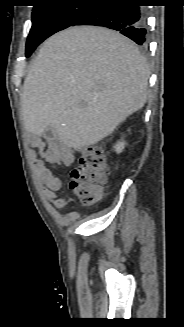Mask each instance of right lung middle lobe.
I'll use <instances>...</instances> for the list:
<instances>
[{"mask_svg":"<svg viewBox=\"0 0 184 327\" xmlns=\"http://www.w3.org/2000/svg\"><path fill=\"white\" fill-rule=\"evenodd\" d=\"M80 0H53L34 7L32 27L27 38L26 56L52 34L71 26L91 4H77ZM88 3L94 0H86Z\"/></svg>","mask_w":184,"mask_h":327,"instance_id":"dd1d6c3e","label":"right lung middle lobe"}]
</instances>
